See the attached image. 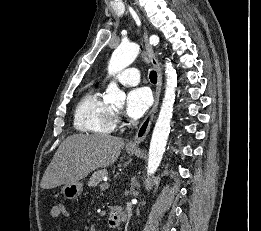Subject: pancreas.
<instances>
[{
  "label": "pancreas",
  "instance_id": "cf45deb5",
  "mask_svg": "<svg viewBox=\"0 0 261 231\" xmlns=\"http://www.w3.org/2000/svg\"><path fill=\"white\" fill-rule=\"evenodd\" d=\"M104 176H108V171L106 169H101V170H97L95 171L89 181H88V186L90 187H95L97 186L101 181H102V178Z\"/></svg>",
  "mask_w": 261,
  "mask_h": 231
}]
</instances>
